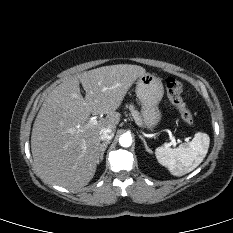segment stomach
I'll return each instance as SVG.
<instances>
[{
  "mask_svg": "<svg viewBox=\"0 0 233 233\" xmlns=\"http://www.w3.org/2000/svg\"><path fill=\"white\" fill-rule=\"evenodd\" d=\"M136 95L141 104L142 121L153 130L162 117L158 107L164 95L161 79L150 73L140 76L136 82Z\"/></svg>",
  "mask_w": 233,
  "mask_h": 233,
  "instance_id": "stomach-1",
  "label": "stomach"
}]
</instances>
